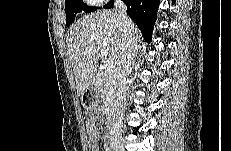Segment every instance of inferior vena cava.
Instances as JSON below:
<instances>
[{"label":"inferior vena cava","instance_id":"1","mask_svg":"<svg viewBox=\"0 0 231 151\" xmlns=\"http://www.w3.org/2000/svg\"><path fill=\"white\" fill-rule=\"evenodd\" d=\"M115 11L121 21L126 42L114 77V101L109 119V140L111 146L119 144L121 141L125 96L128 89L127 79L134 56V44L130 30L131 20L126 12L127 7L122 1H117L115 3Z\"/></svg>","mask_w":231,"mask_h":151}]
</instances>
